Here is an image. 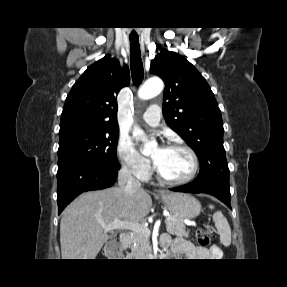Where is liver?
I'll return each mask as SVG.
<instances>
[{"label":"liver","mask_w":287,"mask_h":287,"mask_svg":"<svg viewBox=\"0 0 287 287\" xmlns=\"http://www.w3.org/2000/svg\"><path fill=\"white\" fill-rule=\"evenodd\" d=\"M151 207V196L143 189L137 190L132 197L120 187L80 195L62 213V259H95L109 239L103 225L115 219L143 222Z\"/></svg>","instance_id":"liver-1"}]
</instances>
